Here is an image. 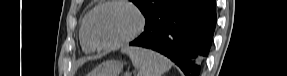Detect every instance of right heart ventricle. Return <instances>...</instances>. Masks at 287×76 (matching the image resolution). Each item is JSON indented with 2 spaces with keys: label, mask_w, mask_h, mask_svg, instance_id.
I'll use <instances>...</instances> for the list:
<instances>
[{
  "label": "right heart ventricle",
  "mask_w": 287,
  "mask_h": 76,
  "mask_svg": "<svg viewBox=\"0 0 287 76\" xmlns=\"http://www.w3.org/2000/svg\"><path fill=\"white\" fill-rule=\"evenodd\" d=\"M80 41L82 45L83 51L87 53L94 52L96 49L91 45V43L88 41L86 34H85V20L82 23L81 29H80Z\"/></svg>",
  "instance_id": "e07e8e85"
}]
</instances>
